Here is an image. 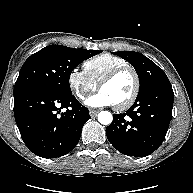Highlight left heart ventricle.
Wrapping results in <instances>:
<instances>
[{"label": "left heart ventricle", "instance_id": "left-heart-ventricle-1", "mask_svg": "<svg viewBox=\"0 0 193 193\" xmlns=\"http://www.w3.org/2000/svg\"><path fill=\"white\" fill-rule=\"evenodd\" d=\"M134 89V77L130 71L117 76L114 80L104 85L100 91L105 92L115 105L125 102Z\"/></svg>", "mask_w": 193, "mask_h": 193}]
</instances>
